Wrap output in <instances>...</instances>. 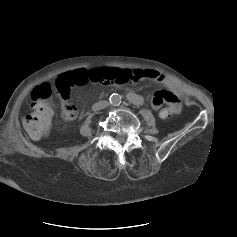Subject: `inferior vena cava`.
Wrapping results in <instances>:
<instances>
[{"instance_id":"obj_1","label":"inferior vena cava","mask_w":237,"mask_h":237,"mask_svg":"<svg viewBox=\"0 0 237 237\" xmlns=\"http://www.w3.org/2000/svg\"><path fill=\"white\" fill-rule=\"evenodd\" d=\"M108 105H109L108 101H105V100L99 101V102H96V103L93 104L92 110L93 111H98V110L106 108Z\"/></svg>"}]
</instances>
